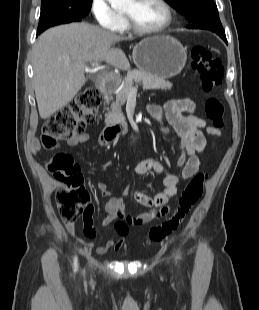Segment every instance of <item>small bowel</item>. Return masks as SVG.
<instances>
[{
  "mask_svg": "<svg viewBox=\"0 0 259 310\" xmlns=\"http://www.w3.org/2000/svg\"><path fill=\"white\" fill-rule=\"evenodd\" d=\"M146 109L149 115L160 123L161 132L166 139H171V130L164 125V118L180 137L179 146L181 155L177 160V165L182 168L181 175L183 179L191 178L198 172L201 166L199 153L203 152L207 145V140L202 129H206L207 133L215 138L220 137L221 133L213 127H208L205 120L195 114L196 104L190 99H172L167 101L163 107L150 103ZM88 140L89 135L83 133L68 139L66 144L75 147L85 144ZM31 149L33 152L40 151L41 146L37 140L32 141ZM135 171L139 175L150 172L162 175L164 189L154 196L135 191L134 199L136 202L149 208V210L136 215H127L124 210L122 198L110 196L111 193L108 185L105 182H100L98 186L102 195L109 197L105 205L107 216L101 222L103 226L110 224L117 217L124 218L126 223L130 225H142L162 217L168 212V202L177 193L178 177L170 173L159 161L151 158L138 162ZM93 213L94 209L92 206L90 210L86 211L83 218L84 234L89 238L95 236ZM67 229L73 234L76 232L73 225H68ZM123 245L124 239L120 236L116 241L110 239L104 244L97 246L96 252L104 255L110 249H121Z\"/></svg>",
  "mask_w": 259,
  "mask_h": 310,
  "instance_id": "1",
  "label": "small bowel"
}]
</instances>
